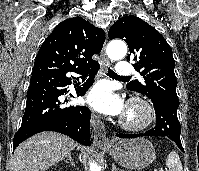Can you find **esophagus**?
Segmentation results:
<instances>
[{"mask_svg": "<svg viewBox=\"0 0 199 171\" xmlns=\"http://www.w3.org/2000/svg\"><path fill=\"white\" fill-rule=\"evenodd\" d=\"M105 45H106V42H105L103 49L100 53V66H101L102 71H105L107 66L109 65V61H108V58L105 53ZM91 124H92L93 130H94L93 144L99 148L108 146L109 139L107 137L105 126L100 121L98 116L94 113L91 114Z\"/></svg>", "mask_w": 199, "mask_h": 171, "instance_id": "esophagus-1", "label": "esophagus"}]
</instances>
